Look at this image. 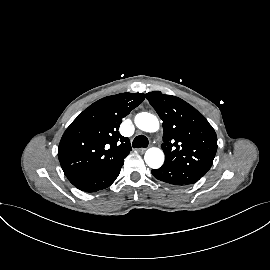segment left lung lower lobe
<instances>
[{
  "label": "left lung lower lobe",
  "mask_w": 270,
  "mask_h": 270,
  "mask_svg": "<svg viewBox=\"0 0 270 270\" xmlns=\"http://www.w3.org/2000/svg\"><path fill=\"white\" fill-rule=\"evenodd\" d=\"M152 174L158 180L176 186L191 185L201 178L184 168L168 164L162 165L159 169L152 170Z\"/></svg>",
  "instance_id": "left-lung-lower-lobe-1"
}]
</instances>
